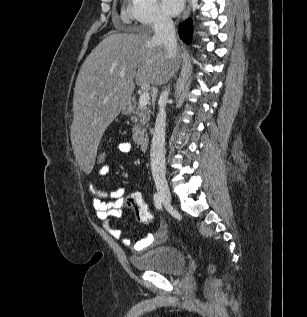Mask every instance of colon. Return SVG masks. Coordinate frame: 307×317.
Returning <instances> with one entry per match:
<instances>
[{"mask_svg":"<svg viewBox=\"0 0 307 317\" xmlns=\"http://www.w3.org/2000/svg\"><path fill=\"white\" fill-rule=\"evenodd\" d=\"M106 160L107 153L104 150H99L96 154V164L104 166ZM125 205L133 210L135 217L139 222L145 224H150L152 222V214L141 193L133 192L129 194L125 199ZM210 271H212V269H210Z\"/></svg>","mask_w":307,"mask_h":317,"instance_id":"colon-1","label":"colon"}]
</instances>
